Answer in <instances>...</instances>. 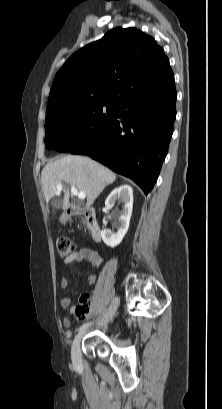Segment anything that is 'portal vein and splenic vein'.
I'll return each mask as SVG.
<instances>
[{"label":"portal vein and splenic vein","mask_w":222,"mask_h":409,"mask_svg":"<svg viewBox=\"0 0 222 409\" xmlns=\"http://www.w3.org/2000/svg\"><path fill=\"white\" fill-rule=\"evenodd\" d=\"M57 190H58V192H61V190H62V183H59V184H58ZM71 193H72L73 195L77 196V197H78L79 199H81V200L85 199V197H86L85 193H84L83 191H78L73 184H71Z\"/></svg>","instance_id":"18ae733b"}]
</instances>
